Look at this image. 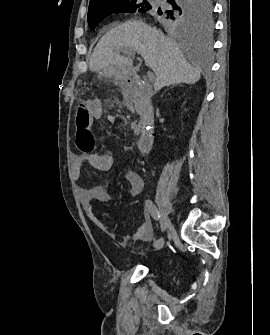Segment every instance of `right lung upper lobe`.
Listing matches in <instances>:
<instances>
[{
	"instance_id": "right-lung-upper-lobe-1",
	"label": "right lung upper lobe",
	"mask_w": 270,
	"mask_h": 335,
	"mask_svg": "<svg viewBox=\"0 0 270 335\" xmlns=\"http://www.w3.org/2000/svg\"><path fill=\"white\" fill-rule=\"evenodd\" d=\"M113 1L115 0H90L89 8L101 6V5H104V4L113 2Z\"/></svg>"
}]
</instances>
